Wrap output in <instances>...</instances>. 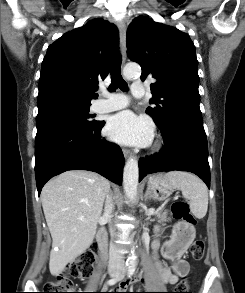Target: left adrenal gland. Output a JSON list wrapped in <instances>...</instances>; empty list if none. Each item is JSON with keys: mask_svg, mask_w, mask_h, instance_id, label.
<instances>
[{"mask_svg": "<svg viewBox=\"0 0 245 293\" xmlns=\"http://www.w3.org/2000/svg\"><path fill=\"white\" fill-rule=\"evenodd\" d=\"M144 197H145V201H147L148 199H151V196H150L148 190L146 191Z\"/></svg>", "mask_w": 245, "mask_h": 293, "instance_id": "a2214340", "label": "left adrenal gland"}]
</instances>
